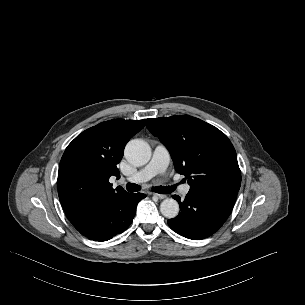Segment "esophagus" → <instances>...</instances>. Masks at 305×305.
<instances>
[{
    "instance_id": "1",
    "label": "esophagus",
    "mask_w": 305,
    "mask_h": 305,
    "mask_svg": "<svg viewBox=\"0 0 305 305\" xmlns=\"http://www.w3.org/2000/svg\"><path fill=\"white\" fill-rule=\"evenodd\" d=\"M153 195L155 197H157L158 199H165V198H167V195H164V194L154 193Z\"/></svg>"
}]
</instances>
